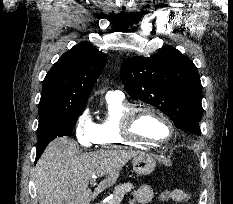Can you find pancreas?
<instances>
[{
  "mask_svg": "<svg viewBox=\"0 0 233 204\" xmlns=\"http://www.w3.org/2000/svg\"><path fill=\"white\" fill-rule=\"evenodd\" d=\"M134 189L132 183H123L114 187L113 196L105 204H120L126 193Z\"/></svg>",
  "mask_w": 233,
  "mask_h": 204,
  "instance_id": "1",
  "label": "pancreas"
}]
</instances>
